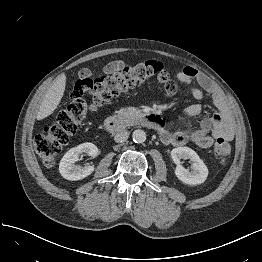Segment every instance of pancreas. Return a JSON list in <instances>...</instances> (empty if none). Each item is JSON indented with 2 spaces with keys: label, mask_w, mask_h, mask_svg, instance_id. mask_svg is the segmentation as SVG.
<instances>
[{
  "label": "pancreas",
  "mask_w": 262,
  "mask_h": 262,
  "mask_svg": "<svg viewBox=\"0 0 262 262\" xmlns=\"http://www.w3.org/2000/svg\"><path fill=\"white\" fill-rule=\"evenodd\" d=\"M116 113H117V117L124 119L127 122L137 120L140 117V111L136 110L133 107L122 108Z\"/></svg>",
  "instance_id": "1"
}]
</instances>
